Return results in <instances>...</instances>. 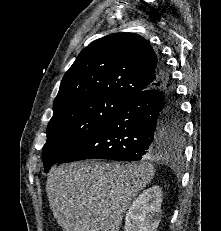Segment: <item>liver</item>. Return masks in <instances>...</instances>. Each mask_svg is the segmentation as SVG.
I'll use <instances>...</instances> for the list:
<instances>
[{
	"label": "liver",
	"instance_id": "obj_1",
	"mask_svg": "<svg viewBox=\"0 0 221 231\" xmlns=\"http://www.w3.org/2000/svg\"><path fill=\"white\" fill-rule=\"evenodd\" d=\"M164 158L167 152L155 157ZM154 173L148 162H76L52 167L46 192L63 231H119L123 214Z\"/></svg>",
	"mask_w": 221,
	"mask_h": 231
}]
</instances>
